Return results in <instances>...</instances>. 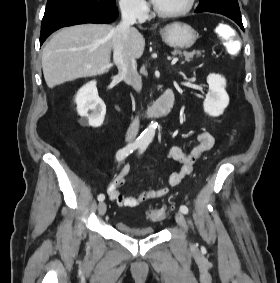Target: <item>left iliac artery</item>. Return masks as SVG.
<instances>
[{"instance_id": "obj_1", "label": "left iliac artery", "mask_w": 280, "mask_h": 283, "mask_svg": "<svg viewBox=\"0 0 280 283\" xmlns=\"http://www.w3.org/2000/svg\"><path fill=\"white\" fill-rule=\"evenodd\" d=\"M147 147V144H143L140 148H139V153H142ZM180 211L183 213V214H187L188 213V208L187 206L185 205H181L180 206Z\"/></svg>"}]
</instances>
